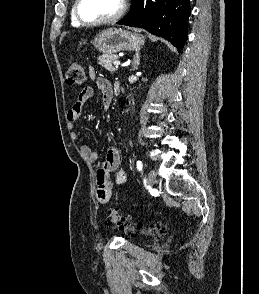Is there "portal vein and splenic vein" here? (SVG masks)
<instances>
[{
    "label": "portal vein and splenic vein",
    "instance_id": "18ae733b",
    "mask_svg": "<svg viewBox=\"0 0 259 294\" xmlns=\"http://www.w3.org/2000/svg\"><path fill=\"white\" fill-rule=\"evenodd\" d=\"M114 65H115L116 67H118V66L121 65V62H120V61H115V62H114Z\"/></svg>",
    "mask_w": 259,
    "mask_h": 294
}]
</instances>
